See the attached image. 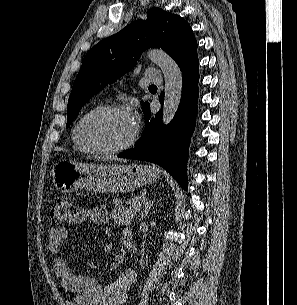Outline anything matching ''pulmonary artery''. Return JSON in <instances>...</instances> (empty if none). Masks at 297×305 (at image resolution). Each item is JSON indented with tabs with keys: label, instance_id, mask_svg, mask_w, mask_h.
Listing matches in <instances>:
<instances>
[{
	"label": "pulmonary artery",
	"instance_id": "pulmonary-artery-1",
	"mask_svg": "<svg viewBox=\"0 0 297 305\" xmlns=\"http://www.w3.org/2000/svg\"><path fill=\"white\" fill-rule=\"evenodd\" d=\"M144 81L148 83L158 84L161 82L160 76L157 74L156 70L149 69L144 73Z\"/></svg>",
	"mask_w": 297,
	"mask_h": 305
}]
</instances>
